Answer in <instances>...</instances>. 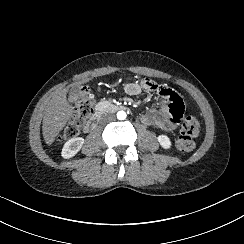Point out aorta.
<instances>
[{
  "label": "aorta",
  "mask_w": 244,
  "mask_h": 244,
  "mask_svg": "<svg viewBox=\"0 0 244 244\" xmlns=\"http://www.w3.org/2000/svg\"><path fill=\"white\" fill-rule=\"evenodd\" d=\"M126 112L125 111H118L117 112V118L119 119V120H124V119H126Z\"/></svg>",
  "instance_id": "762f6f07"
}]
</instances>
